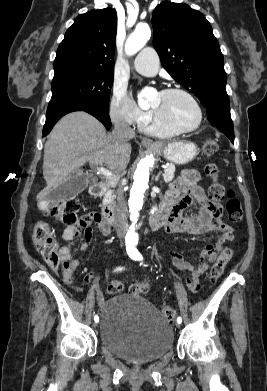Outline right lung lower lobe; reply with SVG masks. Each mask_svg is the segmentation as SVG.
Segmentation results:
<instances>
[{
  "mask_svg": "<svg viewBox=\"0 0 267 391\" xmlns=\"http://www.w3.org/2000/svg\"><path fill=\"white\" fill-rule=\"evenodd\" d=\"M73 111H85L101 121L107 130L111 127L109 110L82 102H65L53 108L47 109L43 136H46L51 131L55 123L62 116Z\"/></svg>",
  "mask_w": 267,
  "mask_h": 391,
  "instance_id": "1",
  "label": "right lung lower lobe"
}]
</instances>
